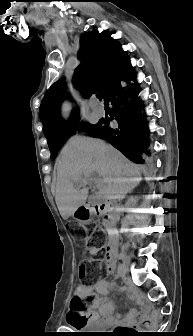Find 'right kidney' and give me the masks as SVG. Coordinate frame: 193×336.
<instances>
[{
    "label": "right kidney",
    "instance_id": "ca27d5eb",
    "mask_svg": "<svg viewBox=\"0 0 193 336\" xmlns=\"http://www.w3.org/2000/svg\"><path fill=\"white\" fill-rule=\"evenodd\" d=\"M136 202H137V199L131 197V198H129L128 201L126 202V205H127V206H130V205L136 204Z\"/></svg>",
    "mask_w": 193,
    "mask_h": 336
}]
</instances>
